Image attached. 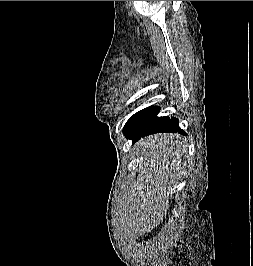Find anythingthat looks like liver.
<instances>
[{"instance_id":"liver-1","label":"liver","mask_w":253,"mask_h":266,"mask_svg":"<svg viewBox=\"0 0 253 266\" xmlns=\"http://www.w3.org/2000/svg\"><path fill=\"white\" fill-rule=\"evenodd\" d=\"M142 163L137 181L124 190L120 203L121 227L127 237L151 232L163 221L169 189L178 179L186 145L174 134H157L136 143Z\"/></svg>"}]
</instances>
